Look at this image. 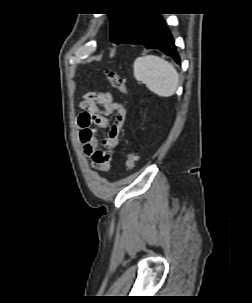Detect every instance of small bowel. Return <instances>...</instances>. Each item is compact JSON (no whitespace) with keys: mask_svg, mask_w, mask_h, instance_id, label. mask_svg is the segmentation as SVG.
I'll use <instances>...</instances> for the list:
<instances>
[{"mask_svg":"<svg viewBox=\"0 0 252 303\" xmlns=\"http://www.w3.org/2000/svg\"><path fill=\"white\" fill-rule=\"evenodd\" d=\"M83 115L78 125L80 127L79 138L83 150L92 166L102 172L111 168L113 153L118 147L119 135L122 130L126 111L124 107L112 100L109 93L97 90H88L81 103ZM113 116L111 122L109 117ZM108 128V134L99 139L97 130ZM100 144L106 149L100 148Z\"/></svg>","mask_w":252,"mask_h":303,"instance_id":"c3829d8e","label":"small bowel"}]
</instances>
